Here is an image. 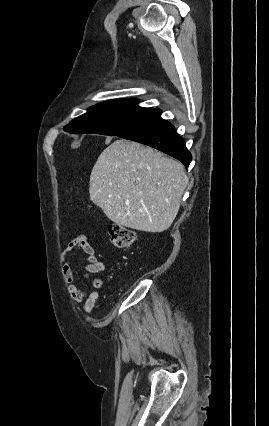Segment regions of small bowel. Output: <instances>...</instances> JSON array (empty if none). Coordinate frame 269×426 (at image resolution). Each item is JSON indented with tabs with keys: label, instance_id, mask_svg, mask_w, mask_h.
<instances>
[{
	"label": "small bowel",
	"instance_id": "obj_1",
	"mask_svg": "<svg viewBox=\"0 0 269 426\" xmlns=\"http://www.w3.org/2000/svg\"><path fill=\"white\" fill-rule=\"evenodd\" d=\"M81 250L88 264L86 265L83 276L91 282L90 290H82L74 284V273L70 264V256L76 251ZM62 274L64 282L67 285L71 298L82 305L85 313H90L98 298V289L102 287L103 282L100 279L92 280V274L99 273L104 270V264L99 261L95 249L90 244L87 236L81 235L71 240L61 255Z\"/></svg>",
	"mask_w": 269,
	"mask_h": 426
}]
</instances>
